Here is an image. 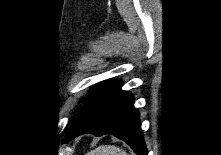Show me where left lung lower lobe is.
I'll return each mask as SVG.
<instances>
[{
    "label": "left lung lower lobe",
    "instance_id": "obj_1",
    "mask_svg": "<svg viewBox=\"0 0 221 155\" xmlns=\"http://www.w3.org/2000/svg\"><path fill=\"white\" fill-rule=\"evenodd\" d=\"M84 133L112 134L124 140L138 155H148L139 113L133 107V96L121 90L117 80L101 83L93 90L84 112L65 139L70 141Z\"/></svg>",
    "mask_w": 221,
    "mask_h": 155
}]
</instances>
